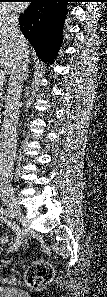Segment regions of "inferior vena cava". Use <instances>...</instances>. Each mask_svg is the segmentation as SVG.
I'll return each mask as SVG.
<instances>
[{"instance_id":"602c4592","label":"inferior vena cava","mask_w":107,"mask_h":297,"mask_svg":"<svg viewBox=\"0 0 107 297\" xmlns=\"http://www.w3.org/2000/svg\"><path fill=\"white\" fill-rule=\"evenodd\" d=\"M0 32L7 34L16 43L14 66L9 73L8 93L5 99L4 119L0 135L1 166L6 173L10 174L14 165L20 99L29 60L19 29V21L15 15L6 13L1 17Z\"/></svg>"}]
</instances>
